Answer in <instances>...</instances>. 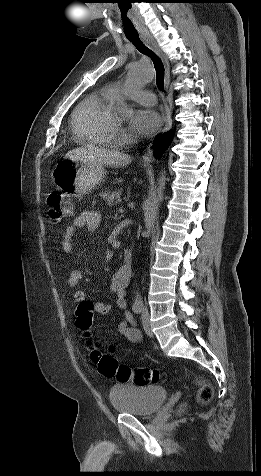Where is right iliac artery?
Returning <instances> with one entry per match:
<instances>
[{
  "instance_id": "82829eb1",
  "label": "right iliac artery",
  "mask_w": 261,
  "mask_h": 476,
  "mask_svg": "<svg viewBox=\"0 0 261 476\" xmlns=\"http://www.w3.org/2000/svg\"><path fill=\"white\" fill-rule=\"evenodd\" d=\"M132 309H133L134 313L140 314L143 310V305L142 304L133 305Z\"/></svg>"
}]
</instances>
